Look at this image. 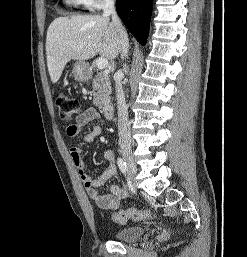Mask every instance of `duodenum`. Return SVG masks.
Instances as JSON below:
<instances>
[{
	"label": "duodenum",
	"mask_w": 247,
	"mask_h": 257,
	"mask_svg": "<svg viewBox=\"0 0 247 257\" xmlns=\"http://www.w3.org/2000/svg\"><path fill=\"white\" fill-rule=\"evenodd\" d=\"M103 115L107 119H111L114 114V108L112 104H105L102 108Z\"/></svg>",
	"instance_id": "obj_1"
}]
</instances>
